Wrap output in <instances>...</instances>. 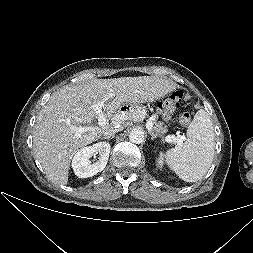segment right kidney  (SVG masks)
Returning <instances> with one entry per match:
<instances>
[{
    "mask_svg": "<svg viewBox=\"0 0 253 253\" xmlns=\"http://www.w3.org/2000/svg\"><path fill=\"white\" fill-rule=\"evenodd\" d=\"M110 148L111 146L108 142H98L79 150L72 160L74 173L79 178H88L101 172L106 167ZM96 154L99 155L98 160L91 164L90 158Z\"/></svg>",
    "mask_w": 253,
    "mask_h": 253,
    "instance_id": "right-kidney-1",
    "label": "right kidney"
}]
</instances>
